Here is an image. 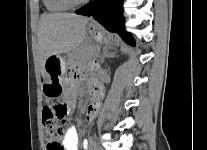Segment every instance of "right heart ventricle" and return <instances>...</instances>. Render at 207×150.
I'll return each mask as SVG.
<instances>
[{"mask_svg":"<svg viewBox=\"0 0 207 150\" xmlns=\"http://www.w3.org/2000/svg\"><path fill=\"white\" fill-rule=\"evenodd\" d=\"M45 8L52 13L65 12L70 6L64 0H43Z\"/></svg>","mask_w":207,"mask_h":150,"instance_id":"obj_1","label":"right heart ventricle"}]
</instances>
